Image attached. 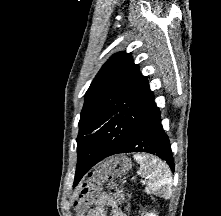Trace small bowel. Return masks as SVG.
I'll return each mask as SVG.
<instances>
[{
    "label": "small bowel",
    "instance_id": "1",
    "mask_svg": "<svg viewBox=\"0 0 221 216\" xmlns=\"http://www.w3.org/2000/svg\"><path fill=\"white\" fill-rule=\"evenodd\" d=\"M111 209V216H126L118 207L112 194H102L96 203V206L87 216H107L106 209Z\"/></svg>",
    "mask_w": 221,
    "mask_h": 216
}]
</instances>
